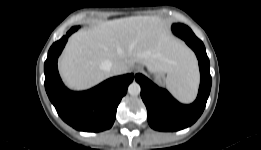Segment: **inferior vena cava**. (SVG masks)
<instances>
[{
	"label": "inferior vena cava",
	"instance_id": "1",
	"mask_svg": "<svg viewBox=\"0 0 261 150\" xmlns=\"http://www.w3.org/2000/svg\"><path fill=\"white\" fill-rule=\"evenodd\" d=\"M108 69L112 72V74L119 75L127 71V66L122 62H116V63H111Z\"/></svg>",
	"mask_w": 261,
	"mask_h": 150
}]
</instances>
